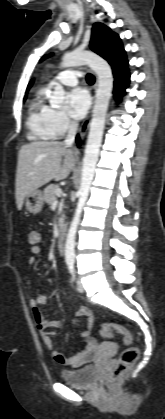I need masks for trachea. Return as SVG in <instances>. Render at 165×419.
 Listing matches in <instances>:
<instances>
[{
    "instance_id": "3493384b",
    "label": "trachea",
    "mask_w": 165,
    "mask_h": 419,
    "mask_svg": "<svg viewBox=\"0 0 165 419\" xmlns=\"http://www.w3.org/2000/svg\"><path fill=\"white\" fill-rule=\"evenodd\" d=\"M86 80L89 84H93L94 81H95V78L92 74L88 73L87 76H86Z\"/></svg>"
}]
</instances>
